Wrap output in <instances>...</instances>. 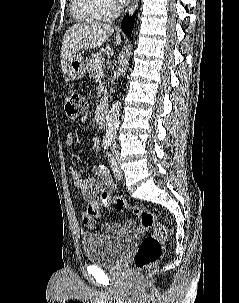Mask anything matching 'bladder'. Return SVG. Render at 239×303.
Listing matches in <instances>:
<instances>
[{"label":"bladder","mask_w":239,"mask_h":303,"mask_svg":"<svg viewBox=\"0 0 239 303\" xmlns=\"http://www.w3.org/2000/svg\"><path fill=\"white\" fill-rule=\"evenodd\" d=\"M134 239V234L109 236L101 233H86L82 237V246L88 261L103 266H116Z\"/></svg>","instance_id":"bladder-1"}]
</instances>
